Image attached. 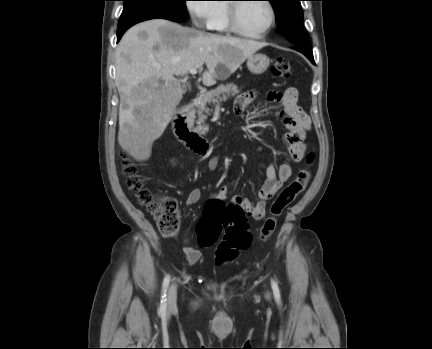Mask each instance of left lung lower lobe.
Segmentation results:
<instances>
[{"label":"left lung lower lobe","instance_id":"left-lung-lower-lobe-1","mask_svg":"<svg viewBox=\"0 0 432 349\" xmlns=\"http://www.w3.org/2000/svg\"><path fill=\"white\" fill-rule=\"evenodd\" d=\"M294 49L303 53L315 65L313 53L311 51V47L295 46Z\"/></svg>","mask_w":432,"mask_h":349}]
</instances>
